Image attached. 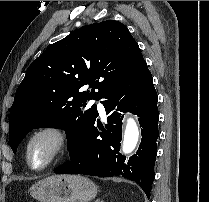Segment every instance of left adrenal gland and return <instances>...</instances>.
I'll use <instances>...</instances> for the list:
<instances>
[{
	"instance_id": "a2214340",
	"label": "left adrenal gland",
	"mask_w": 209,
	"mask_h": 202,
	"mask_svg": "<svg viewBox=\"0 0 209 202\" xmlns=\"http://www.w3.org/2000/svg\"><path fill=\"white\" fill-rule=\"evenodd\" d=\"M95 202H103V201H101L100 199H97Z\"/></svg>"
}]
</instances>
